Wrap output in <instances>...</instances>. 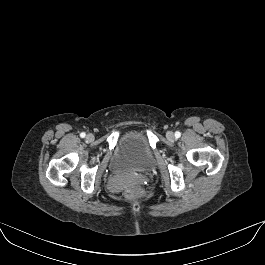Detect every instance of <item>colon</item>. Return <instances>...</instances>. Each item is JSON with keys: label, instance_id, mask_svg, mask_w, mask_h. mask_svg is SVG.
<instances>
[{"label": "colon", "instance_id": "5ec220e1", "mask_svg": "<svg viewBox=\"0 0 265 265\" xmlns=\"http://www.w3.org/2000/svg\"><path fill=\"white\" fill-rule=\"evenodd\" d=\"M125 196L131 200L137 199L140 196V191L135 187H131L126 189Z\"/></svg>", "mask_w": 265, "mask_h": 265}]
</instances>
